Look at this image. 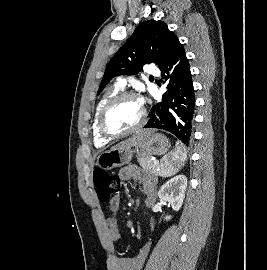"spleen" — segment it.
<instances>
[{
	"instance_id": "3e777b00",
	"label": "spleen",
	"mask_w": 267,
	"mask_h": 270,
	"mask_svg": "<svg viewBox=\"0 0 267 270\" xmlns=\"http://www.w3.org/2000/svg\"><path fill=\"white\" fill-rule=\"evenodd\" d=\"M187 160L185 148L176 142L174 151L164 156L161 160V176L168 177L177 173Z\"/></svg>"
}]
</instances>
